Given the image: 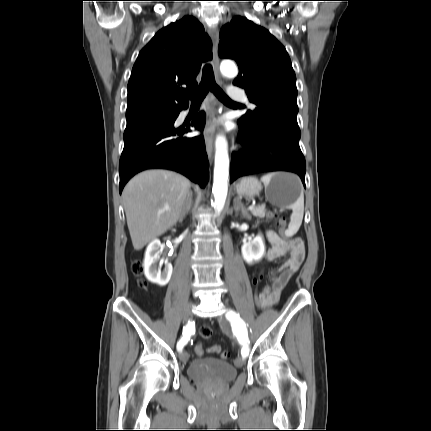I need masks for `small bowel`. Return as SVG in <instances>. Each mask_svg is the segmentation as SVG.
I'll use <instances>...</instances> for the list:
<instances>
[{"instance_id":"small-bowel-1","label":"small bowel","mask_w":431,"mask_h":431,"mask_svg":"<svg viewBox=\"0 0 431 431\" xmlns=\"http://www.w3.org/2000/svg\"><path fill=\"white\" fill-rule=\"evenodd\" d=\"M266 236L271 244L265 255L267 260L273 261L279 259L287 253H290V256L273 273L271 284L260 291L259 305H261V308L270 307L279 301L285 285L293 274L298 271L305 256L304 244L300 239L285 240L271 230L267 232ZM202 349L204 350V348ZM208 351L211 353H220L221 348L218 345H213Z\"/></svg>"}]
</instances>
